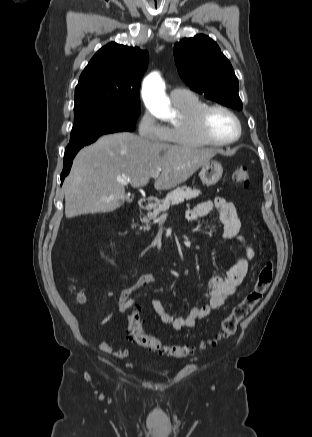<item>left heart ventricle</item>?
Returning <instances> with one entry per match:
<instances>
[{"instance_id":"b2bd125f","label":"left heart ventricle","mask_w":312,"mask_h":437,"mask_svg":"<svg viewBox=\"0 0 312 437\" xmlns=\"http://www.w3.org/2000/svg\"><path fill=\"white\" fill-rule=\"evenodd\" d=\"M207 130L210 135L218 140H227L237 133L234 119L221 110L212 111L207 118Z\"/></svg>"}]
</instances>
